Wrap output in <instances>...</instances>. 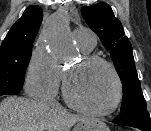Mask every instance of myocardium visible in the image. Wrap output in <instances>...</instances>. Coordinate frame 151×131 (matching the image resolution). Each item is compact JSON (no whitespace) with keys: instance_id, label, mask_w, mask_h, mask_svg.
Here are the masks:
<instances>
[{"instance_id":"1","label":"myocardium","mask_w":151,"mask_h":131,"mask_svg":"<svg viewBox=\"0 0 151 131\" xmlns=\"http://www.w3.org/2000/svg\"><path fill=\"white\" fill-rule=\"evenodd\" d=\"M82 62L84 65H91V64H102L104 65L111 73L114 83H115V96L113 101L111 102V104L109 106H107L104 109H92L89 108L85 105H83L82 103H80L79 101H77L71 94L70 90H69V75L70 72L67 71L64 77V82H63V96L66 100V102L73 107L74 109H76L77 111L89 115V116H94V117H105L108 116L110 114H112L113 112H115L117 110V108L119 107V105L122 102L123 99V84L121 81V78L116 70V68L114 67V65L109 62L107 59L97 56V55H85L82 59Z\"/></svg>"}]
</instances>
